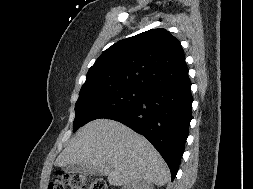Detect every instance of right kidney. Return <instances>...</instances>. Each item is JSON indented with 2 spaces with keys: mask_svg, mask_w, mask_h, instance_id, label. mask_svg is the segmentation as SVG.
I'll return each mask as SVG.
<instances>
[{
  "mask_svg": "<svg viewBox=\"0 0 253 189\" xmlns=\"http://www.w3.org/2000/svg\"><path fill=\"white\" fill-rule=\"evenodd\" d=\"M122 189H153V185L144 180H135L125 185Z\"/></svg>",
  "mask_w": 253,
  "mask_h": 189,
  "instance_id": "right-kidney-1",
  "label": "right kidney"
}]
</instances>
